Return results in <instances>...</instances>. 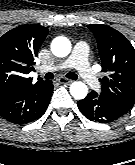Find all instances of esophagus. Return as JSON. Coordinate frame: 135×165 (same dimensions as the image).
I'll list each match as a JSON object with an SVG mask.
<instances>
[{"label": "esophagus", "mask_w": 135, "mask_h": 165, "mask_svg": "<svg viewBox=\"0 0 135 165\" xmlns=\"http://www.w3.org/2000/svg\"><path fill=\"white\" fill-rule=\"evenodd\" d=\"M58 81H59V83H61V84H67V85H69V84L72 83V80L67 79V78H65V77H60V78L58 79Z\"/></svg>", "instance_id": "obj_1"}]
</instances>
